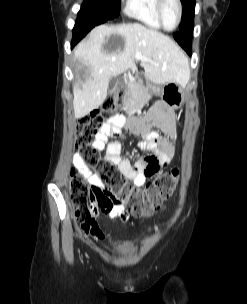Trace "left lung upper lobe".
Here are the masks:
<instances>
[{
    "instance_id": "5c2ea615",
    "label": "left lung upper lobe",
    "mask_w": 247,
    "mask_h": 304,
    "mask_svg": "<svg viewBox=\"0 0 247 304\" xmlns=\"http://www.w3.org/2000/svg\"><path fill=\"white\" fill-rule=\"evenodd\" d=\"M183 4L182 22L179 26L180 30L194 27V11L195 0H181Z\"/></svg>"
}]
</instances>
